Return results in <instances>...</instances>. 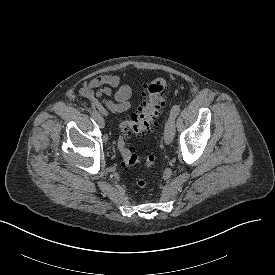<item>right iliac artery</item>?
I'll return each instance as SVG.
<instances>
[{
    "label": "right iliac artery",
    "mask_w": 275,
    "mask_h": 275,
    "mask_svg": "<svg viewBox=\"0 0 275 275\" xmlns=\"http://www.w3.org/2000/svg\"><path fill=\"white\" fill-rule=\"evenodd\" d=\"M99 113L97 111H92L91 116L95 120L98 117Z\"/></svg>",
    "instance_id": "1"
}]
</instances>
